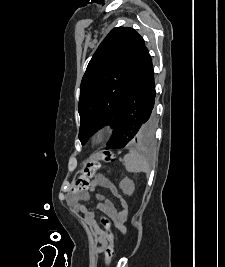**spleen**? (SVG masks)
I'll return each mask as SVG.
<instances>
[{
    "mask_svg": "<svg viewBox=\"0 0 225 267\" xmlns=\"http://www.w3.org/2000/svg\"><path fill=\"white\" fill-rule=\"evenodd\" d=\"M124 165L128 172L132 173H146L150 172V166L144 156L136 150H130L124 157Z\"/></svg>",
    "mask_w": 225,
    "mask_h": 267,
    "instance_id": "spleen-1",
    "label": "spleen"
}]
</instances>
